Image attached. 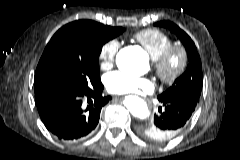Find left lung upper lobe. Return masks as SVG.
<instances>
[{"instance_id": "left-lung-upper-lobe-1", "label": "left lung upper lobe", "mask_w": 240, "mask_h": 160, "mask_svg": "<svg viewBox=\"0 0 240 160\" xmlns=\"http://www.w3.org/2000/svg\"><path fill=\"white\" fill-rule=\"evenodd\" d=\"M155 25L168 28L178 36L186 48L189 61L185 73L176 79L160 97L185 98L198 103L203 86V75L200 56L194 42L183 30L170 21L157 22Z\"/></svg>"}]
</instances>
